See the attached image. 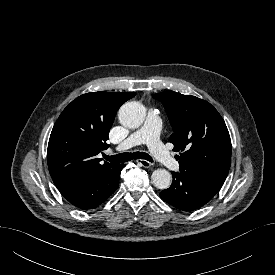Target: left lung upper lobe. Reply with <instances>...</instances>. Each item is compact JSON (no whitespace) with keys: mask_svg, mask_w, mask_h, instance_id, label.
<instances>
[{"mask_svg":"<svg viewBox=\"0 0 275 275\" xmlns=\"http://www.w3.org/2000/svg\"><path fill=\"white\" fill-rule=\"evenodd\" d=\"M165 107L173 134L169 142L180 171L223 184L231 164V140L218 111L207 101L165 91L153 95Z\"/></svg>","mask_w":275,"mask_h":275,"instance_id":"1","label":"left lung upper lobe"}]
</instances>
